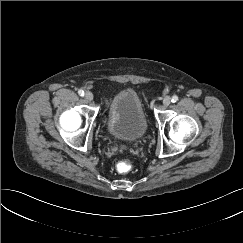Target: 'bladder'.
<instances>
[{
    "mask_svg": "<svg viewBox=\"0 0 243 243\" xmlns=\"http://www.w3.org/2000/svg\"><path fill=\"white\" fill-rule=\"evenodd\" d=\"M107 129L121 140L135 141L148 130V118L138 94L132 89L119 91L107 109Z\"/></svg>",
    "mask_w": 243,
    "mask_h": 243,
    "instance_id": "obj_1",
    "label": "bladder"
}]
</instances>
